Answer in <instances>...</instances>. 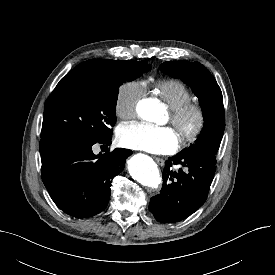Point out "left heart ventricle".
Wrapping results in <instances>:
<instances>
[{
    "mask_svg": "<svg viewBox=\"0 0 275 275\" xmlns=\"http://www.w3.org/2000/svg\"><path fill=\"white\" fill-rule=\"evenodd\" d=\"M169 120H170V118H169ZM190 124H191V122H190ZM175 133H176V135L179 137L178 131L175 130Z\"/></svg>",
    "mask_w": 275,
    "mask_h": 275,
    "instance_id": "b2bd125f",
    "label": "left heart ventricle"
}]
</instances>
